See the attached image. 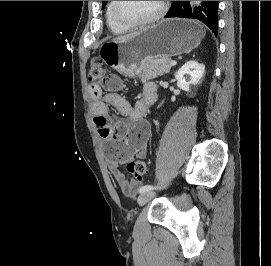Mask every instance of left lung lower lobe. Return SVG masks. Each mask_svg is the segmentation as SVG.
<instances>
[{
    "label": "left lung lower lobe",
    "mask_w": 271,
    "mask_h": 266,
    "mask_svg": "<svg viewBox=\"0 0 271 266\" xmlns=\"http://www.w3.org/2000/svg\"><path fill=\"white\" fill-rule=\"evenodd\" d=\"M181 17L197 19L203 22L215 35L218 33V1H202L201 6L192 9L189 1H177L172 6L165 18Z\"/></svg>",
    "instance_id": "obj_1"
}]
</instances>
